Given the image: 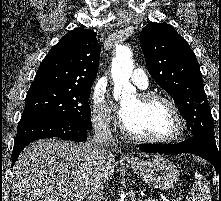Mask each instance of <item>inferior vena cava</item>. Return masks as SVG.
<instances>
[{
	"mask_svg": "<svg viewBox=\"0 0 221 201\" xmlns=\"http://www.w3.org/2000/svg\"><path fill=\"white\" fill-rule=\"evenodd\" d=\"M95 134L91 141V149L95 162L102 167L99 169L103 170L105 159L109 152L107 147L114 146L115 140L110 130L109 119L104 117L94 125ZM104 183L103 175L98 174L94 183L92 184L90 196L88 201H104Z\"/></svg>",
	"mask_w": 221,
	"mask_h": 201,
	"instance_id": "1",
	"label": "inferior vena cava"
}]
</instances>
